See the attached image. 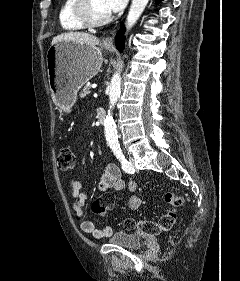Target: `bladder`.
<instances>
[{
	"mask_svg": "<svg viewBox=\"0 0 240 281\" xmlns=\"http://www.w3.org/2000/svg\"><path fill=\"white\" fill-rule=\"evenodd\" d=\"M145 240V235L142 233L121 231L114 233L109 242L127 249H139L144 245Z\"/></svg>",
	"mask_w": 240,
	"mask_h": 281,
	"instance_id": "bladder-1",
	"label": "bladder"
}]
</instances>
